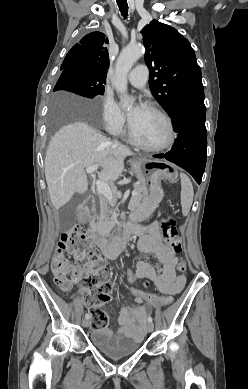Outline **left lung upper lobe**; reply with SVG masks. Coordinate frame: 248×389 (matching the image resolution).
Instances as JSON below:
<instances>
[{"label": "left lung upper lobe", "mask_w": 248, "mask_h": 389, "mask_svg": "<svg viewBox=\"0 0 248 389\" xmlns=\"http://www.w3.org/2000/svg\"><path fill=\"white\" fill-rule=\"evenodd\" d=\"M141 34L151 92L168 114L184 98L204 93L201 69L187 39L157 20L146 25Z\"/></svg>", "instance_id": "1"}]
</instances>
